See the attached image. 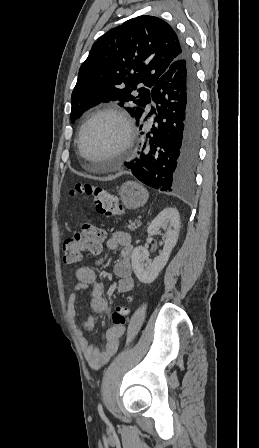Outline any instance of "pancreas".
Listing matches in <instances>:
<instances>
[{
	"mask_svg": "<svg viewBox=\"0 0 259 448\" xmlns=\"http://www.w3.org/2000/svg\"><path fill=\"white\" fill-rule=\"evenodd\" d=\"M139 226H141V222H132V220H129V224L126 228H128V230H135V228H139Z\"/></svg>",
	"mask_w": 259,
	"mask_h": 448,
	"instance_id": "obj_1",
	"label": "pancreas"
}]
</instances>
